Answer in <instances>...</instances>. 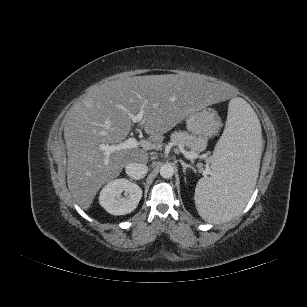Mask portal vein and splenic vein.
Instances as JSON below:
<instances>
[{"instance_id": "obj_1", "label": "portal vein and splenic vein", "mask_w": 307, "mask_h": 307, "mask_svg": "<svg viewBox=\"0 0 307 307\" xmlns=\"http://www.w3.org/2000/svg\"><path fill=\"white\" fill-rule=\"evenodd\" d=\"M144 117V111L141 110L138 112L136 115H131V119L133 122H142ZM139 145V142L134 138V137H129L126 141L121 142L119 144L115 145H108V144H100L99 149L104 152L105 158H104V163L108 164L109 161V156L115 152V151H120V150H126V149H131V148H137ZM183 155L190 160H194L199 158V155L196 154L195 152H188L186 150H181ZM210 173L209 167H207L203 171V175L206 176Z\"/></svg>"}]
</instances>
